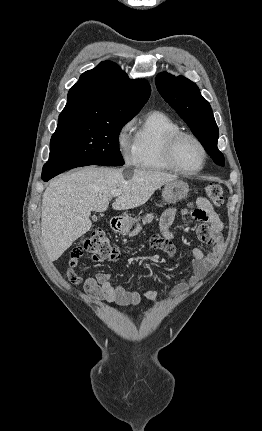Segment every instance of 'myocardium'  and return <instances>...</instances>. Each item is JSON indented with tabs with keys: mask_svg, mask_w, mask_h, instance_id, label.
<instances>
[{
	"mask_svg": "<svg viewBox=\"0 0 262 431\" xmlns=\"http://www.w3.org/2000/svg\"><path fill=\"white\" fill-rule=\"evenodd\" d=\"M189 139L193 141L202 152V164L195 170L185 169L177 159V148L181 141ZM165 157L167 162L178 172L186 176L198 174L206 165L208 153L204 144L194 135L186 132H179L171 135L166 142Z\"/></svg>",
	"mask_w": 262,
	"mask_h": 431,
	"instance_id": "f54148a6",
	"label": "myocardium"
}]
</instances>
